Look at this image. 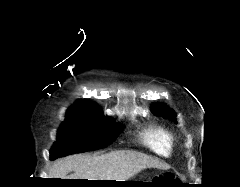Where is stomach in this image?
Wrapping results in <instances>:
<instances>
[{
    "label": "stomach",
    "instance_id": "obj_1",
    "mask_svg": "<svg viewBox=\"0 0 240 187\" xmlns=\"http://www.w3.org/2000/svg\"><path fill=\"white\" fill-rule=\"evenodd\" d=\"M121 186H133V184L127 183V184H122Z\"/></svg>",
    "mask_w": 240,
    "mask_h": 187
}]
</instances>
